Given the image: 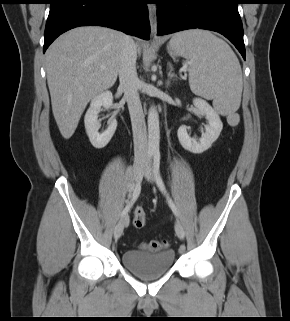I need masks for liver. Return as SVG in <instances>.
Masks as SVG:
<instances>
[{
	"mask_svg": "<svg viewBox=\"0 0 290 321\" xmlns=\"http://www.w3.org/2000/svg\"><path fill=\"white\" fill-rule=\"evenodd\" d=\"M125 36L106 27H77L58 37L46 51L52 111L65 139L74 134L89 101L116 82Z\"/></svg>",
	"mask_w": 290,
	"mask_h": 321,
	"instance_id": "1",
	"label": "liver"
}]
</instances>
